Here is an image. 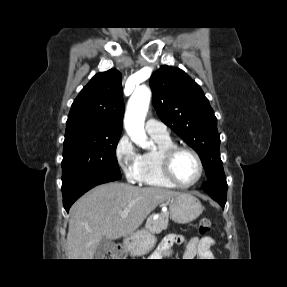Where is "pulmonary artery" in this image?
<instances>
[{
	"label": "pulmonary artery",
	"instance_id": "obj_1",
	"mask_svg": "<svg viewBox=\"0 0 287 287\" xmlns=\"http://www.w3.org/2000/svg\"><path fill=\"white\" fill-rule=\"evenodd\" d=\"M145 128L151 136L166 138L169 137L167 126L159 120L149 118L146 121Z\"/></svg>",
	"mask_w": 287,
	"mask_h": 287
}]
</instances>
